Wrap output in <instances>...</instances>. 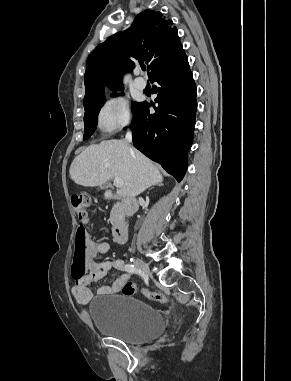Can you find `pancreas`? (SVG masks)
Here are the masks:
<instances>
[{
	"label": "pancreas",
	"mask_w": 291,
	"mask_h": 381,
	"mask_svg": "<svg viewBox=\"0 0 291 381\" xmlns=\"http://www.w3.org/2000/svg\"><path fill=\"white\" fill-rule=\"evenodd\" d=\"M118 218L116 211L113 209L110 214V222L114 224Z\"/></svg>",
	"instance_id": "obj_1"
}]
</instances>
